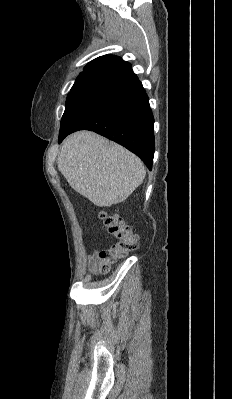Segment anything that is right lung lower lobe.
<instances>
[{"instance_id": "obj_1", "label": "right lung lower lobe", "mask_w": 232, "mask_h": 399, "mask_svg": "<svg viewBox=\"0 0 232 399\" xmlns=\"http://www.w3.org/2000/svg\"><path fill=\"white\" fill-rule=\"evenodd\" d=\"M154 118L148 96L132 69L97 83L66 103L59 143L86 129L126 147L151 169Z\"/></svg>"}]
</instances>
